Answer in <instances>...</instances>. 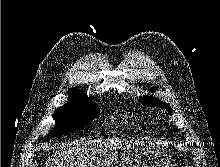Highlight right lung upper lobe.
I'll use <instances>...</instances> for the list:
<instances>
[{
    "instance_id": "obj_1",
    "label": "right lung upper lobe",
    "mask_w": 220,
    "mask_h": 167,
    "mask_svg": "<svg viewBox=\"0 0 220 167\" xmlns=\"http://www.w3.org/2000/svg\"><path fill=\"white\" fill-rule=\"evenodd\" d=\"M68 97L71 100V102H75V101H91L92 98H88L87 95L76 88H72L69 90L68 92Z\"/></svg>"
}]
</instances>
